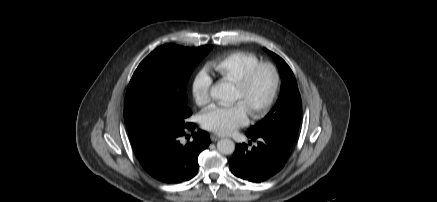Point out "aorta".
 I'll use <instances>...</instances> for the list:
<instances>
[{"mask_svg":"<svg viewBox=\"0 0 437 202\" xmlns=\"http://www.w3.org/2000/svg\"><path fill=\"white\" fill-rule=\"evenodd\" d=\"M211 96L223 103L235 101V88L233 84L225 81H218L210 89ZM217 149L220 153L230 155L235 150V144L230 139H221L217 143Z\"/></svg>","mask_w":437,"mask_h":202,"instance_id":"obj_1","label":"aorta"}]
</instances>
